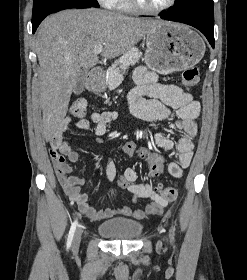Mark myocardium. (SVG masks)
I'll list each match as a JSON object with an SVG mask.
<instances>
[{"mask_svg":"<svg viewBox=\"0 0 247 280\" xmlns=\"http://www.w3.org/2000/svg\"><path fill=\"white\" fill-rule=\"evenodd\" d=\"M128 1L131 7L137 11L146 14H160L171 9L176 4L177 0H168V2L165 5L156 8L146 7L139 0H128Z\"/></svg>","mask_w":247,"mask_h":280,"instance_id":"obj_1","label":"myocardium"}]
</instances>
